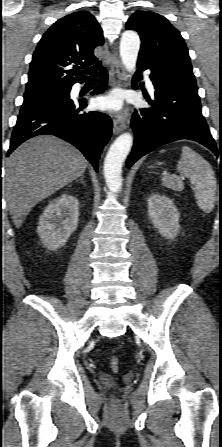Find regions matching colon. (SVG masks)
Wrapping results in <instances>:
<instances>
[{"label": "colon", "instance_id": "5ec220e1", "mask_svg": "<svg viewBox=\"0 0 222 447\" xmlns=\"http://www.w3.org/2000/svg\"><path fill=\"white\" fill-rule=\"evenodd\" d=\"M110 365H111V368H112L114 371H117L118 368H119V359H118V357H116V356L112 357V358L110 359Z\"/></svg>", "mask_w": 222, "mask_h": 447}]
</instances>
